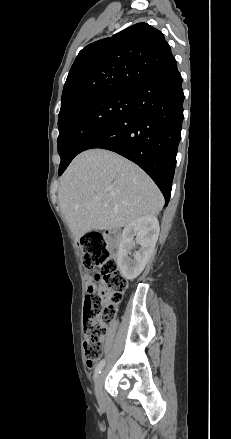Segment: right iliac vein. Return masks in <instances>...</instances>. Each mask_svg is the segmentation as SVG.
Instances as JSON below:
<instances>
[{
  "mask_svg": "<svg viewBox=\"0 0 231 439\" xmlns=\"http://www.w3.org/2000/svg\"><path fill=\"white\" fill-rule=\"evenodd\" d=\"M104 377H105V373L102 372L99 375L98 380H97L96 385H95V395H96L98 401H102L103 400L102 384H103Z\"/></svg>",
  "mask_w": 231,
  "mask_h": 439,
  "instance_id": "63e3f726",
  "label": "right iliac vein"
}]
</instances>
